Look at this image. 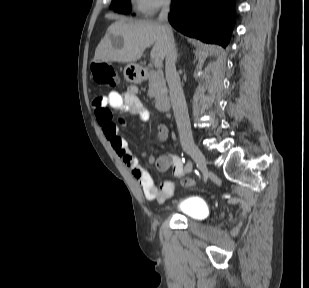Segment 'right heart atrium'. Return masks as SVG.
I'll return each instance as SVG.
<instances>
[{"mask_svg":"<svg viewBox=\"0 0 309 288\" xmlns=\"http://www.w3.org/2000/svg\"><path fill=\"white\" fill-rule=\"evenodd\" d=\"M136 9L144 15H152L158 10L168 7L171 0H133Z\"/></svg>","mask_w":309,"mask_h":288,"instance_id":"d8ad5b80","label":"right heart atrium"}]
</instances>
